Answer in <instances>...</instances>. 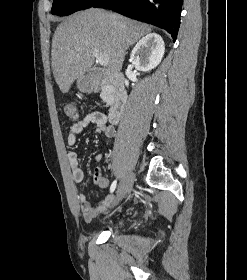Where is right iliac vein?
<instances>
[{
  "instance_id": "1",
  "label": "right iliac vein",
  "mask_w": 247,
  "mask_h": 280,
  "mask_svg": "<svg viewBox=\"0 0 247 280\" xmlns=\"http://www.w3.org/2000/svg\"><path fill=\"white\" fill-rule=\"evenodd\" d=\"M134 175L132 173L128 174L119 184L117 189V200H121L126 196V194L131 190L133 185Z\"/></svg>"
}]
</instances>
